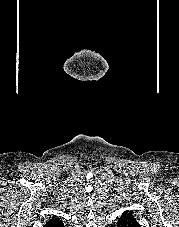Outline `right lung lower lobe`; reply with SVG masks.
<instances>
[{
  "mask_svg": "<svg viewBox=\"0 0 179 227\" xmlns=\"http://www.w3.org/2000/svg\"><path fill=\"white\" fill-rule=\"evenodd\" d=\"M64 225L62 224V225H60V227H63Z\"/></svg>",
  "mask_w": 179,
  "mask_h": 227,
  "instance_id": "right-lung-lower-lobe-1",
  "label": "right lung lower lobe"
}]
</instances>
